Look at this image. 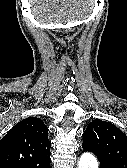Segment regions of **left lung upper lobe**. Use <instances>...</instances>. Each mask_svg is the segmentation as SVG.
<instances>
[{"mask_svg":"<svg viewBox=\"0 0 127 168\" xmlns=\"http://www.w3.org/2000/svg\"><path fill=\"white\" fill-rule=\"evenodd\" d=\"M83 137L84 150L92 151L112 168H127V136L115 125L96 119Z\"/></svg>","mask_w":127,"mask_h":168,"instance_id":"1","label":"left lung upper lobe"}]
</instances>
